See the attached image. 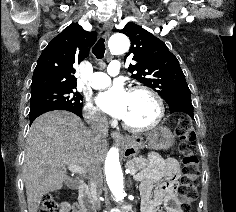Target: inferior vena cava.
I'll list each match as a JSON object with an SVG mask.
<instances>
[{
	"mask_svg": "<svg viewBox=\"0 0 236 212\" xmlns=\"http://www.w3.org/2000/svg\"><path fill=\"white\" fill-rule=\"evenodd\" d=\"M109 124L106 117L95 116L91 124V133L95 142L105 140L108 137ZM88 183L95 206L100 207L99 197L102 193L103 176L99 166L95 165L89 170Z\"/></svg>",
	"mask_w": 236,
	"mask_h": 212,
	"instance_id": "inferior-vena-cava-1",
	"label": "inferior vena cava"
}]
</instances>
